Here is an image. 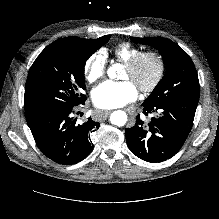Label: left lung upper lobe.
Listing matches in <instances>:
<instances>
[{
    "mask_svg": "<svg viewBox=\"0 0 219 219\" xmlns=\"http://www.w3.org/2000/svg\"><path fill=\"white\" fill-rule=\"evenodd\" d=\"M131 40L156 48L168 70V74L145 100L146 103H167L182 96L199 95V80L193 61L176 43L161 37H131Z\"/></svg>",
    "mask_w": 219,
    "mask_h": 219,
    "instance_id": "5c2ea615",
    "label": "left lung upper lobe"
}]
</instances>
